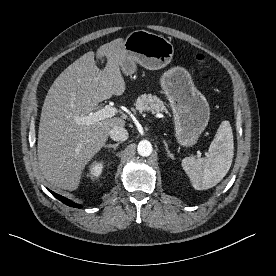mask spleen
<instances>
[{
  "label": "spleen",
  "instance_id": "3e777b00",
  "mask_svg": "<svg viewBox=\"0 0 276 276\" xmlns=\"http://www.w3.org/2000/svg\"><path fill=\"white\" fill-rule=\"evenodd\" d=\"M234 156L233 132L229 121H223L209 146L206 157H185L181 165L192 186L206 190L217 185L229 171Z\"/></svg>",
  "mask_w": 276,
  "mask_h": 276
}]
</instances>
